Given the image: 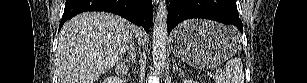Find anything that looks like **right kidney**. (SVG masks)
<instances>
[{"label": "right kidney", "instance_id": "obj_1", "mask_svg": "<svg viewBox=\"0 0 307 83\" xmlns=\"http://www.w3.org/2000/svg\"><path fill=\"white\" fill-rule=\"evenodd\" d=\"M126 83V78L125 79H120L119 77L116 76H110L104 79V83Z\"/></svg>", "mask_w": 307, "mask_h": 83}]
</instances>
